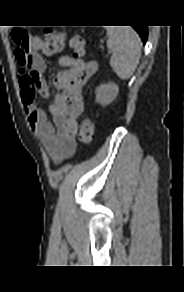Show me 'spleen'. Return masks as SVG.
I'll use <instances>...</instances> for the list:
<instances>
[{"label": "spleen", "instance_id": "spleen-1", "mask_svg": "<svg viewBox=\"0 0 184 292\" xmlns=\"http://www.w3.org/2000/svg\"><path fill=\"white\" fill-rule=\"evenodd\" d=\"M107 47L112 51L110 65L116 75L129 79L135 72L141 54V40L131 27H107Z\"/></svg>", "mask_w": 184, "mask_h": 292}]
</instances>
